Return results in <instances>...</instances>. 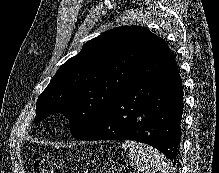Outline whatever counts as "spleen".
Instances as JSON below:
<instances>
[{"instance_id": "3e777b00", "label": "spleen", "mask_w": 219, "mask_h": 173, "mask_svg": "<svg viewBox=\"0 0 219 173\" xmlns=\"http://www.w3.org/2000/svg\"><path fill=\"white\" fill-rule=\"evenodd\" d=\"M123 148L127 151L131 166L142 173H175L173 165L158 150L126 140Z\"/></svg>"}]
</instances>
